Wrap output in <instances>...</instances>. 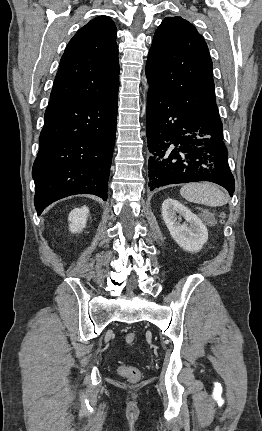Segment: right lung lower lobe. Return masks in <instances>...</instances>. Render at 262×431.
Returning <instances> with one entry per match:
<instances>
[{"mask_svg": "<svg viewBox=\"0 0 262 431\" xmlns=\"http://www.w3.org/2000/svg\"><path fill=\"white\" fill-rule=\"evenodd\" d=\"M117 93L104 100L49 102L32 171L38 215L54 201L74 194L107 199Z\"/></svg>", "mask_w": 262, "mask_h": 431, "instance_id": "obj_1", "label": "right lung lower lobe"}]
</instances>
